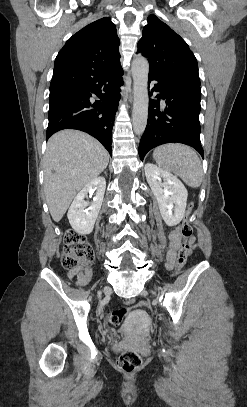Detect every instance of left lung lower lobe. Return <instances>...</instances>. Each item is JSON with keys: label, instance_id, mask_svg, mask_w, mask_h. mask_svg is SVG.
<instances>
[{"label": "left lung lower lobe", "instance_id": "left-lung-lower-lobe-1", "mask_svg": "<svg viewBox=\"0 0 247 407\" xmlns=\"http://www.w3.org/2000/svg\"><path fill=\"white\" fill-rule=\"evenodd\" d=\"M152 80L158 82L153 90L160 94L149 102L148 122L139 144L140 159L152 148L171 142L189 145L204 157L200 142V85L149 74L148 83ZM161 99L165 106H160Z\"/></svg>", "mask_w": 247, "mask_h": 407}]
</instances>
